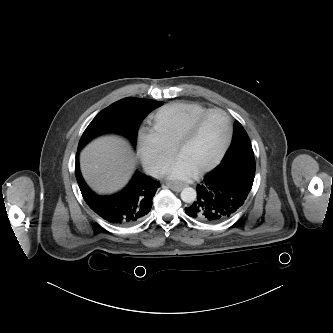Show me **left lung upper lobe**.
Returning <instances> with one entry per match:
<instances>
[{"label":"left lung upper lobe","mask_w":333,"mask_h":333,"mask_svg":"<svg viewBox=\"0 0 333 333\" xmlns=\"http://www.w3.org/2000/svg\"><path fill=\"white\" fill-rule=\"evenodd\" d=\"M244 158L254 159V153L246 131L242 125L236 121L231 145L219 165Z\"/></svg>","instance_id":"left-lung-upper-lobe-1"}]
</instances>
